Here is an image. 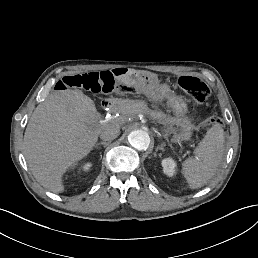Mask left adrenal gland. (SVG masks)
Instances as JSON below:
<instances>
[{
  "mask_svg": "<svg viewBox=\"0 0 258 258\" xmlns=\"http://www.w3.org/2000/svg\"><path fill=\"white\" fill-rule=\"evenodd\" d=\"M164 146H165V142H163L162 144H158V145L156 146L155 151H158V149L165 150Z\"/></svg>",
  "mask_w": 258,
  "mask_h": 258,
  "instance_id": "obj_1",
  "label": "left adrenal gland"
}]
</instances>
